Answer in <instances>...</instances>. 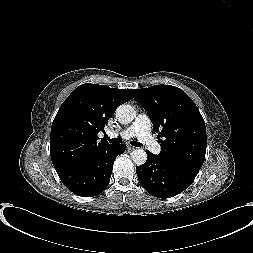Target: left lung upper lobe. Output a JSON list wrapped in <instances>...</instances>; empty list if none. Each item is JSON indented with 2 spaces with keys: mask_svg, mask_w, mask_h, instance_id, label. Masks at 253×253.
<instances>
[{
  "mask_svg": "<svg viewBox=\"0 0 253 253\" xmlns=\"http://www.w3.org/2000/svg\"><path fill=\"white\" fill-rule=\"evenodd\" d=\"M148 113L161 145L160 158L198 173L206 153V128L192 99L180 88L155 85L130 90Z\"/></svg>",
  "mask_w": 253,
  "mask_h": 253,
  "instance_id": "obj_1",
  "label": "left lung upper lobe"
}]
</instances>
